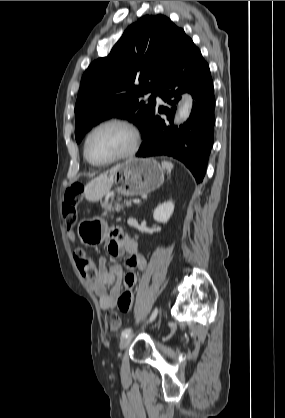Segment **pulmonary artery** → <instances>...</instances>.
<instances>
[{
	"mask_svg": "<svg viewBox=\"0 0 285 418\" xmlns=\"http://www.w3.org/2000/svg\"><path fill=\"white\" fill-rule=\"evenodd\" d=\"M149 96L153 95V93H148ZM158 99H160L159 96H156Z\"/></svg>",
	"mask_w": 285,
	"mask_h": 418,
	"instance_id": "1",
	"label": "pulmonary artery"
}]
</instances>
